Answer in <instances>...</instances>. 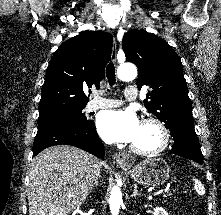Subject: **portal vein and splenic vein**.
<instances>
[{"instance_id": "obj_1", "label": "portal vein and splenic vein", "mask_w": 221, "mask_h": 215, "mask_svg": "<svg viewBox=\"0 0 221 215\" xmlns=\"http://www.w3.org/2000/svg\"><path fill=\"white\" fill-rule=\"evenodd\" d=\"M163 192L167 193V195L170 194L168 191H165V190ZM164 196H166V195H164Z\"/></svg>"}]
</instances>
